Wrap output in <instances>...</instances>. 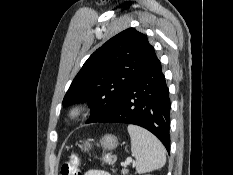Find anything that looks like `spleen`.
<instances>
[{"label": "spleen", "instance_id": "3e777b00", "mask_svg": "<svg viewBox=\"0 0 233 175\" xmlns=\"http://www.w3.org/2000/svg\"><path fill=\"white\" fill-rule=\"evenodd\" d=\"M131 138V151L136 158L137 173H145L162 168L166 163L165 148L149 131L128 125Z\"/></svg>", "mask_w": 233, "mask_h": 175}]
</instances>
